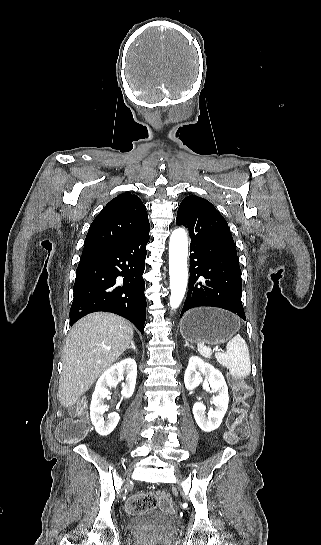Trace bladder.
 Returning <instances> with one entry per match:
<instances>
[{"instance_id": "31cf9c89", "label": "bladder", "mask_w": 321, "mask_h": 545, "mask_svg": "<svg viewBox=\"0 0 321 545\" xmlns=\"http://www.w3.org/2000/svg\"><path fill=\"white\" fill-rule=\"evenodd\" d=\"M175 521L162 511L145 510L135 513L127 523L128 531L134 536L167 533L173 530Z\"/></svg>"}]
</instances>
